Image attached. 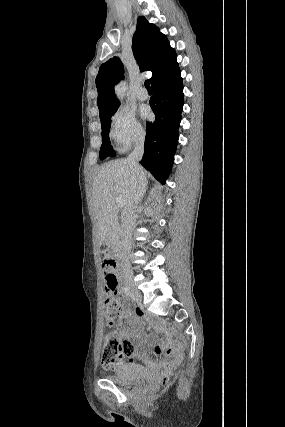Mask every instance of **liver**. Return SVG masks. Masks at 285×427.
I'll list each match as a JSON object with an SVG mask.
<instances>
[{
  "mask_svg": "<svg viewBox=\"0 0 285 427\" xmlns=\"http://www.w3.org/2000/svg\"><path fill=\"white\" fill-rule=\"evenodd\" d=\"M133 176L127 159H119L102 166L93 182V216L101 245L106 239L116 217V198L121 196L124 207L133 190Z\"/></svg>",
  "mask_w": 285,
  "mask_h": 427,
  "instance_id": "6515ba94",
  "label": "liver"
}]
</instances>
